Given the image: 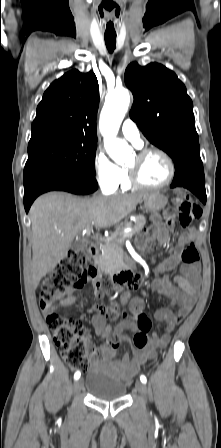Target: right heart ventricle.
Wrapping results in <instances>:
<instances>
[{"mask_svg": "<svg viewBox=\"0 0 221 448\" xmlns=\"http://www.w3.org/2000/svg\"><path fill=\"white\" fill-rule=\"evenodd\" d=\"M119 186H120V189L123 191H127V190L133 188V186L129 182V175H128V171L126 169H123V176H122V180H121V183Z\"/></svg>", "mask_w": 221, "mask_h": 448, "instance_id": "1", "label": "right heart ventricle"}]
</instances>
